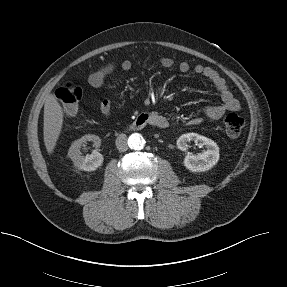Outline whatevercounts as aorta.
Here are the masks:
<instances>
[{"label":"aorta","instance_id":"762f6f07","mask_svg":"<svg viewBox=\"0 0 287 287\" xmlns=\"http://www.w3.org/2000/svg\"><path fill=\"white\" fill-rule=\"evenodd\" d=\"M145 140L139 133H134L128 138V145L131 149L141 150L144 147Z\"/></svg>","mask_w":287,"mask_h":287}]
</instances>
